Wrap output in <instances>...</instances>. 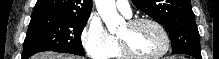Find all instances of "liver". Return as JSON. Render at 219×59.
Returning <instances> with one entry per match:
<instances>
[{
  "instance_id": "6515ba94",
  "label": "liver",
  "mask_w": 219,
  "mask_h": 59,
  "mask_svg": "<svg viewBox=\"0 0 219 59\" xmlns=\"http://www.w3.org/2000/svg\"><path fill=\"white\" fill-rule=\"evenodd\" d=\"M32 59H81V58L77 56L55 53V52H42L34 55Z\"/></svg>"
}]
</instances>
